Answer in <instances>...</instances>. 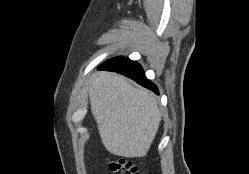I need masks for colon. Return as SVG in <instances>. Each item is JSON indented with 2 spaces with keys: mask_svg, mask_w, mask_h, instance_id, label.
<instances>
[{
  "mask_svg": "<svg viewBox=\"0 0 249 174\" xmlns=\"http://www.w3.org/2000/svg\"><path fill=\"white\" fill-rule=\"evenodd\" d=\"M107 164L112 174H139L138 168L126 158L110 159Z\"/></svg>",
  "mask_w": 249,
  "mask_h": 174,
  "instance_id": "obj_1",
  "label": "colon"
}]
</instances>
